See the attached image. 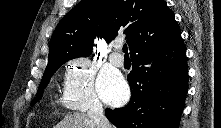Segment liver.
<instances>
[{"instance_id":"liver-1","label":"liver","mask_w":221,"mask_h":128,"mask_svg":"<svg viewBox=\"0 0 221 128\" xmlns=\"http://www.w3.org/2000/svg\"><path fill=\"white\" fill-rule=\"evenodd\" d=\"M55 128H97L95 123L89 118L88 114L75 112L66 115Z\"/></svg>"}]
</instances>
